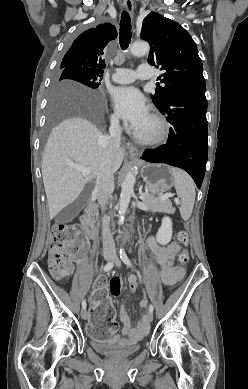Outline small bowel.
<instances>
[{"instance_id":"obj_1","label":"small bowel","mask_w":248,"mask_h":389,"mask_svg":"<svg viewBox=\"0 0 248 389\" xmlns=\"http://www.w3.org/2000/svg\"><path fill=\"white\" fill-rule=\"evenodd\" d=\"M146 247L160 265L159 276L164 284L172 286L182 280L184 275L183 270L174 265V257L180 250V245L178 243L174 242L167 246H161L157 243L155 237L151 236L146 242ZM110 281L111 284L107 286V291L111 293L112 297L118 298L121 290L118 274L114 273L110 278ZM129 281H137V277L135 275H130L127 278V284ZM146 305L147 300L143 299L140 306L145 307ZM120 321L123 324L122 337L126 341L137 342L148 332L146 317H142L139 323L136 326H133L130 315L124 306L120 309ZM113 332L114 331H110V333Z\"/></svg>"}]
</instances>
